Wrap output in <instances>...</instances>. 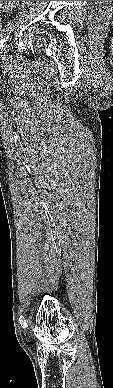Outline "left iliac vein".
<instances>
[{
	"label": "left iliac vein",
	"instance_id": "1",
	"mask_svg": "<svg viewBox=\"0 0 113 388\" xmlns=\"http://www.w3.org/2000/svg\"><path fill=\"white\" fill-rule=\"evenodd\" d=\"M8 52H9V45H6L1 52V56H3V57L8 56Z\"/></svg>",
	"mask_w": 113,
	"mask_h": 388
}]
</instances>
